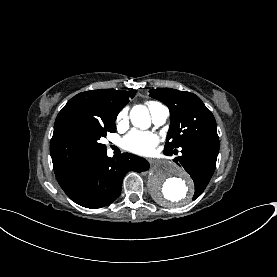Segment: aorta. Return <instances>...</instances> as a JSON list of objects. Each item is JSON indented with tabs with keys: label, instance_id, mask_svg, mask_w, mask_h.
I'll use <instances>...</instances> for the list:
<instances>
[{
	"label": "aorta",
	"instance_id": "obj_1",
	"mask_svg": "<svg viewBox=\"0 0 277 277\" xmlns=\"http://www.w3.org/2000/svg\"><path fill=\"white\" fill-rule=\"evenodd\" d=\"M134 126L141 129L150 127V115L145 106H134L130 112ZM149 190L161 204L183 205L190 201L193 183L188 174L177 163L157 160L149 172Z\"/></svg>",
	"mask_w": 277,
	"mask_h": 277
}]
</instances>
